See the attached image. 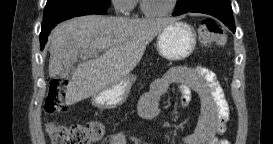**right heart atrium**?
<instances>
[{"instance_id":"right-heart-atrium-1","label":"right heart atrium","mask_w":273,"mask_h":144,"mask_svg":"<svg viewBox=\"0 0 273 144\" xmlns=\"http://www.w3.org/2000/svg\"><path fill=\"white\" fill-rule=\"evenodd\" d=\"M135 0H111V4L118 14H129L135 7Z\"/></svg>"}]
</instances>
